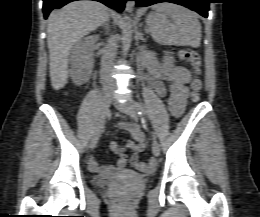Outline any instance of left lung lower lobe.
I'll use <instances>...</instances> for the list:
<instances>
[{
  "instance_id": "obj_1",
  "label": "left lung lower lobe",
  "mask_w": 260,
  "mask_h": 217,
  "mask_svg": "<svg viewBox=\"0 0 260 217\" xmlns=\"http://www.w3.org/2000/svg\"><path fill=\"white\" fill-rule=\"evenodd\" d=\"M130 1H136L137 7L150 6L152 4L161 3V2H171V3L179 4L187 8H190L191 10L198 12L203 17L208 16V11H209L208 6L209 3H211L210 0H130Z\"/></svg>"
}]
</instances>
